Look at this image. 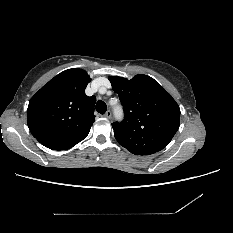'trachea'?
<instances>
[{"instance_id":"1","label":"trachea","mask_w":233,"mask_h":233,"mask_svg":"<svg viewBox=\"0 0 233 233\" xmlns=\"http://www.w3.org/2000/svg\"><path fill=\"white\" fill-rule=\"evenodd\" d=\"M96 110L98 113L100 114H104L107 110V105L105 102L103 101H98L97 104H96Z\"/></svg>"}]
</instances>
